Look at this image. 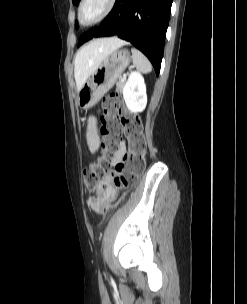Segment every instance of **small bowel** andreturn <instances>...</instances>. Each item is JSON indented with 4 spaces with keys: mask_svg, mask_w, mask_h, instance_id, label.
I'll use <instances>...</instances> for the list:
<instances>
[{
    "mask_svg": "<svg viewBox=\"0 0 247 304\" xmlns=\"http://www.w3.org/2000/svg\"><path fill=\"white\" fill-rule=\"evenodd\" d=\"M86 139H87L89 151L92 154H95L99 150L101 145L100 136L97 131V123L95 117H92L89 120V127L86 134ZM125 154H126V145L124 142H122L114 155L113 158L114 164L117 165L118 163H120Z\"/></svg>",
    "mask_w": 247,
    "mask_h": 304,
    "instance_id": "obj_1",
    "label": "small bowel"
}]
</instances>
